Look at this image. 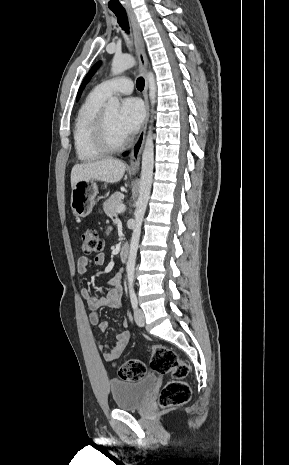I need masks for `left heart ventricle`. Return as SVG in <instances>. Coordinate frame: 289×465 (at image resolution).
Returning <instances> with one entry per match:
<instances>
[{"mask_svg":"<svg viewBox=\"0 0 289 465\" xmlns=\"http://www.w3.org/2000/svg\"><path fill=\"white\" fill-rule=\"evenodd\" d=\"M118 113H119V110L117 108H107V118H108L109 129H110L111 136L115 141H121L126 138L121 133L118 127V122H117Z\"/></svg>","mask_w":289,"mask_h":465,"instance_id":"1","label":"left heart ventricle"}]
</instances>
